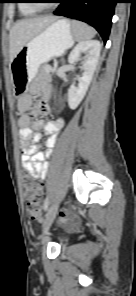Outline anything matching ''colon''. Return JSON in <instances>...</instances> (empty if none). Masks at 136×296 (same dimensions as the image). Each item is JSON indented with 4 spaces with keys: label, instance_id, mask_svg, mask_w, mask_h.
Wrapping results in <instances>:
<instances>
[{
    "label": "colon",
    "instance_id": "5ec220e1",
    "mask_svg": "<svg viewBox=\"0 0 136 296\" xmlns=\"http://www.w3.org/2000/svg\"><path fill=\"white\" fill-rule=\"evenodd\" d=\"M25 195L27 198V210L33 219L41 217V189L40 183H37L30 178H25L23 181ZM66 216V212L63 213Z\"/></svg>",
    "mask_w": 136,
    "mask_h": 296
}]
</instances>
